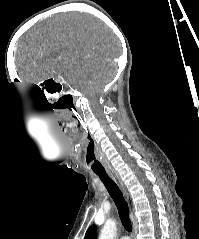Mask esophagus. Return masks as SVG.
Returning a JSON list of instances; mask_svg holds the SVG:
<instances>
[{
  "label": "esophagus",
  "mask_w": 199,
  "mask_h": 239,
  "mask_svg": "<svg viewBox=\"0 0 199 239\" xmlns=\"http://www.w3.org/2000/svg\"><path fill=\"white\" fill-rule=\"evenodd\" d=\"M112 178H113L116 182H118V184H119L120 188L122 189L124 195L127 196V190H126V188H125L123 182L120 180V178H119L117 175H112Z\"/></svg>",
  "instance_id": "34e87169"
}]
</instances>
